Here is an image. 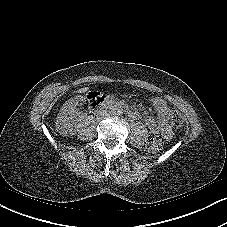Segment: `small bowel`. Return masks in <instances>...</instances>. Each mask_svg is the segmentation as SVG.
Masks as SVG:
<instances>
[{
    "instance_id": "1",
    "label": "small bowel",
    "mask_w": 227,
    "mask_h": 227,
    "mask_svg": "<svg viewBox=\"0 0 227 227\" xmlns=\"http://www.w3.org/2000/svg\"><path fill=\"white\" fill-rule=\"evenodd\" d=\"M151 102L157 111L158 120L156 121L150 114L145 113L144 120L146 125L153 134H160L166 140L171 139L173 135V131L170 125V118L172 113L171 109L169 108L167 102L161 97H151ZM138 115L139 116L137 119L140 118L139 113Z\"/></svg>"
}]
</instances>
